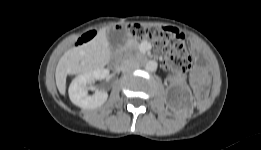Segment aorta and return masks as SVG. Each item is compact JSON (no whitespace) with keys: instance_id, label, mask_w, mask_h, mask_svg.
<instances>
[{"instance_id":"obj_1","label":"aorta","mask_w":261,"mask_h":150,"mask_svg":"<svg viewBox=\"0 0 261 150\" xmlns=\"http://www.w3.org/2000/svg\"><path fill=\"white\" fill-rule=\"evenodd\" d=\"M158 64L154 60H150L146 63L145 69L150 72H154L157 70Z\"/></svg>"}]
</instances>
